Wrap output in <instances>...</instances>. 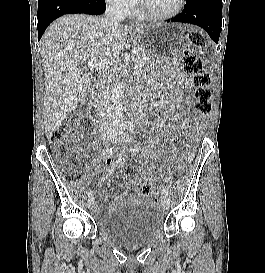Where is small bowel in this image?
<instances>
[{
	"instance_id": "1",
	"label": "small bowel",
	"mask_w": 265,
	"mask_h": 273,
	"mask_svg": "<svg viewBox=\"0 0 265 273\" xmlns=\"http://www.w3.org/2000/svg\"><path fill=\"white\" fill-rule=\"evenodd\" d=\"M152 114H155V113H152ZM162 116L165 118L167 116V114L164 113ZM76 154L78 157H85L86 156V153L83 150H78L76 152ZM93 164L97 168V170H99L98 162L94 161ZM105 164H106V166H108L109 169H108L107 174L102 177V179H101L102 183L105 182L106 177L109 174L114 173L118 168V161L112 157H108L105 161ZM142 182H143L142 176H133L132 178H130L129 184L133 187L134 196L133 197H121L118 199L119 203L126 204L131 201L142 200L143 194L141 193V190H140V186H141ZM97 210H99V208H97Z\"/></svg>"
}]
</instances>
